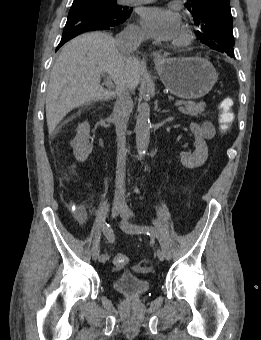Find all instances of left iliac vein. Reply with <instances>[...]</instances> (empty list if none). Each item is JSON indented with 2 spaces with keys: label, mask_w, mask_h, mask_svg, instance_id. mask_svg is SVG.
<instances>
[{
  "label": "left iliac vein",
  "mask_w": 261,
  "mask_h": 340,
  "mask_svg": "<svg viewBox=\"0 0 261 340\" xmlns=\"http://www.w3.org/2000/svg\"><path fill=\"white\" fill-rule=\"evenodd\" d=\"M121 217H122V223H121V227L124 231L126 232H129V233H140V232H136V231H130L128 228H127V223L131 217V211L127 208V207H123L122 208V211H121ZM157 256H158V259L160 261H164L165 260V255L163 253V251L161 249H158L157 250Z\"/></svg>",
  "instance_id": "4c4485c4"
}]
</instances>
